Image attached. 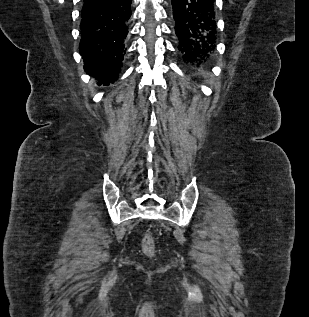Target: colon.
<instances>
[{
	"instance_id": "5ec220e1",
	"label": "colon",
	"mask_w": 309,
	"mask_h": 317,
	"mask_svg": "<svg viewBox=\"0 0 309 317\" xmlns=\"http://www.w3.org/2000/svg\"><path fill=\"white\" fill-rule=\"evenodd\" d=\"M141 248L145 255L153 257L155 255V242L151 234L145 233L141 239Z\"/></svg>"
}]
</instances>
